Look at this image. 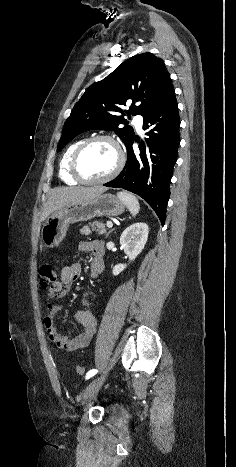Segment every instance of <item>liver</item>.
Here are the masks:
<instances>
[{
    "mask_svg": "<svg viewBox=\"0 0 236 467\" xmlns=\"http://www.w3.org/2000/svg\"><path fill=\"white\" fill-rule=\"evenodd\" d=\"M107 188L95 187H59L54 188L43 206L41 221L64 206L89 201L105 192Z\"/></svg>",
    "mask_w": 236,
    "mask_h": 467,
    "instance_id": "1",
    "label": "liver"
}]
</instances>
